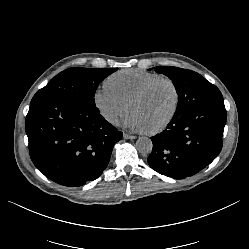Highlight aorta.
I'll return each mask as SVG.
<instances>
[{
    "mask_svg": "<svg viewBox=\"0 0 249 249\" xmlns=\"http://www.w3.org/2000/svg\"><path fill=\"white\" fill-rule=\"evenodd\" d=\"M136 148L142 154H149L152 151L153 144L148 137H139L136 141Z\"/></svg>",
    "mask_w": 249,
    "mask_h": 249,
    "instance_id": "aorta-1",
    "label": "aorta"
}]
</instances>
